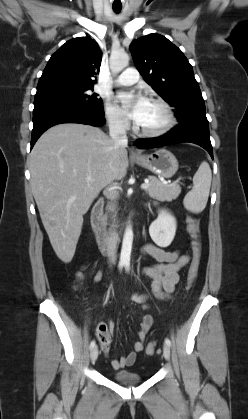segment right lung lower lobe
I'll return each mask as SVG.
<instances>
[{
    "label": "right lung lower lobe",
    "instance_id": "right-lung-lower-lobe-1",
    "mask_svg": "<svg viewBox=\"0 0 248 419\" xmlns=\"http://www.w3.org/2000/svg\"><path fill=\"white\" fill-rule=\"evenodd\" d=\"M105 122L104 113L95 112L82 104L55 102L37 105L33 110L31 148L43 132L56 124L82 123L99 127Z\"/></svg>",
    "mask_w": 248,
    "mask_h": 419
}]
</instances>
